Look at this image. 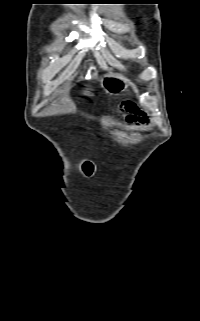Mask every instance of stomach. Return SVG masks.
<instances>
[{
  "instance_id": "stomach-1",
  "label": "stomach",
  "mask_w": 200,
  "mask_h": 321,
  "mask_svg": "<svg viewBox=\"0 0 200 321\" xmlns=\"http://www.w3.org/2000/svg\"><path fill=\"white\" fill-rule=\"evenodd\" d=\"M128 85L129 81L118 74L106 75L101 80V86L110 94L121 93L127 89ZM85 93H89V91H85Z\"/></svg>"
}]
</instances>
